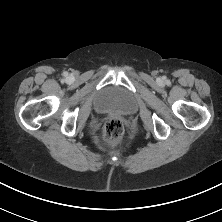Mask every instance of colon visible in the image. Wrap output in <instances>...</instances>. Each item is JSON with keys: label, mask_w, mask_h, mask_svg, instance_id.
I'll use <instances>...</instances> for the list:
<instances>
[{"label": "colon", "mask_w": 222, "mask_h": 222, "mask_svg": "<svg viewBox=\"0 0 222 222\" xmlns=\"http://www.w3.org/2000/svg\"><path fill=\"white\" fill-rule=\"evenodd\" d=\"M124 136L123 122L118 118L108 120L104 125V140L107 143H118Z\"/></svg>", "instance_id": "colon-1"}]
</instances>
